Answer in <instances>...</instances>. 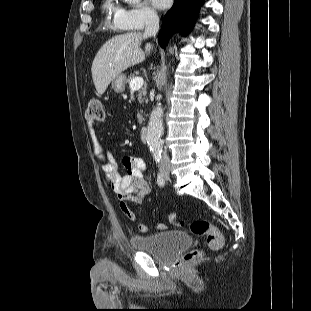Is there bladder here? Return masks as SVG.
Listing matches in <instances>:
<instances>
[{"instance_id":"31cf9c89","label":"bladder","mask_w":311,"mask_h":311,"mask_svg":"<svg viewBox=\"0 0 311 311\" xmlns=\"http://www.w3.org/2000/svg\"><path fill=\"white\" fill-rule=\"evenodd\" d=\"M130 243L136 251L150 253L159 261L171 260L179 251L191 243L187 233L169 230L148 235H133Z\"/></svg>"}]
</instances>
